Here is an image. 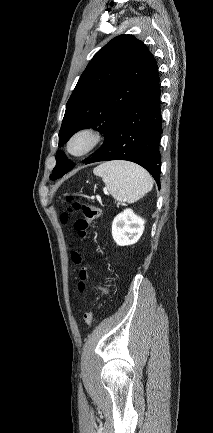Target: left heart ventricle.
I'll use <instances>...</instances> for the list:
<instances>
[{"label":"left heart ventricle","instance_id":"left-heart-ventricle-1","mask_svg":"<svg viewBox=\"0 0 213 433\" xmlns=\"http://www.w3.org/2000/svg\"><path fill=\"white\" fill-rule=\"evenodd\" d=\"M84 146H85V140L78 139L72 144V150L74 152H78V151L82 150Z\"/></svg>","mask_w":213,"mask_h":433}]
</instances>
